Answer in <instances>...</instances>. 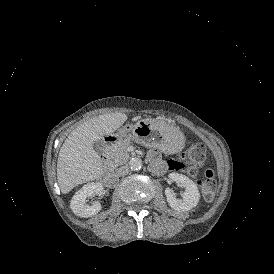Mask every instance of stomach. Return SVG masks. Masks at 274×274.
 <instances>
[{
	"mask_svg": "<svg viewBox=\"0 0 274 274\" xmlns=\"http://www.w3.org/2000/svg\"><path fill=\"white\" fill-rule=\"evenodd\" d=\"M112 137L116 140L126 138L145 147H157L167 154L177 153L183 147V137L177 134V128L155 118H143L133 125L125 124Z\"/></svg>",
	"mask_w": 274,
	"mask_h": 274,
	"instance_id": "0dacf381",
	"label": "stomach"
}]
</instances>
